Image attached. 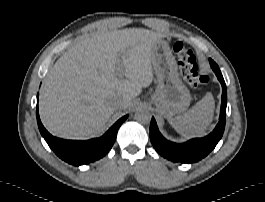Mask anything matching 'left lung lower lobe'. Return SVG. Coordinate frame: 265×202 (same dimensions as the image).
Instances as JSON below:
<instances>
[{
  "label": "left lung lower lobe",
  "instance_id": "0a47b994",
  "mask_svg": "<svg viewBox=\"0 0 265 202\" xmlns=\"http://www.w3.org/2000/svg\"><path fill=\"white\" fill-rule=\"evenodd\" d=\"M210 65L222 85V103L219 123L212 133L204 138H195L185 143H173L166 140L158 130L154 118L150 124V140L155 150L163 157L173 162L194 163L206 157L221 139L225 129L227 90L219 67L209 59Z\"/></svg>",
  "mask_w": 265,
  "mask_h": 202
}]
</instances>
